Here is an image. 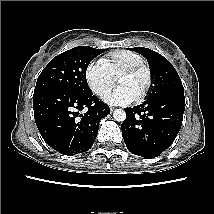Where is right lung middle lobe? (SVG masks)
<instances>
[{"mask_svg": "<svg viewBox=\"0 0 214 214\" xmlns=\"http://www.w3.org/2000/svg\"><path fill=\"white\" fill-rule=\"evenodd\" d=\"M104 51L105 49L79 46L54 57L39 75L34 94L49 90L92 93L87 84L86 70L89 63Z\"/></svg>", "mask_w": 214, "mask_h": 214, "instance_id": "dd1d6c3e", "label": "right lung middle lobe"}]
</instances>
